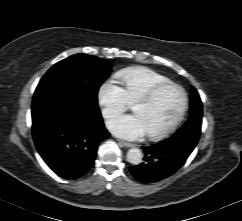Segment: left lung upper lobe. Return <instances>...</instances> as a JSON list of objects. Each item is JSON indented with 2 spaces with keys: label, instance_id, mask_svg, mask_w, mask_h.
Returning a JSON list of instances; mask_svg holds the SVG:
<instances>
[{
  "label": "left lung upper lobe",
  "instance_id": "left-lung-upper-lobe-1",
  "mask_svg": "<svg viewBox=\"0 0 242 221\" xmlns=\"http://www.w3.org/2000/svg\"><path fill=\"white\" fill-rule=\"evenodd\" d=\"M188 121L178 132L194 131L200 134L202 124V102L198 92L193 87L191 90V107Z\"/></svg>",
  "mask_w": 242,
  "mask_h": 221
}]
</instances>
